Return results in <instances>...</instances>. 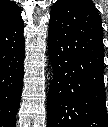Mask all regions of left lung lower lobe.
I'll return each mask as SVG.
<instances>
[{
	"mask_svg": "<svg viewBox=\"0 0 108 127\" xmlns=\"http://www.w3.org/2000/svg\"><path fill=\"white\" fill-rule=\"evenodd\" d=\"M48 127H108L101 18L91 0H57L51 9ZM76 67L74 86L66 76Z\"/></svg>",
	"mask_w": 108,
	"mask_h": 127,
	"instance_id": "obj_1",
	"label": "left lung lower lobe"
}]
</instances>
